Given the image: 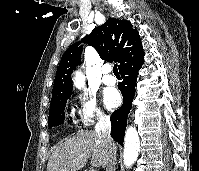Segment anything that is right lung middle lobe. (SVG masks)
Listing matches in <instances>:
<instances>
[{"label": "right lung middle lobe", "mask_w": 199, "mask_h": 171, "mask_svg": "<svg viewBox=\"0 0 199 171\" xmlns=\"http://www.w3.org/2000/svg\"><path fill=\"white\" fill-rule=\"evenodd\" d=\"M68 98H65L63 100L51 104L49 112V120H48L49 126L52 127L64 123V118H65L64 110Z\"/></svg>", "instance_id": "dd1d6c3e"}]
</instances>
